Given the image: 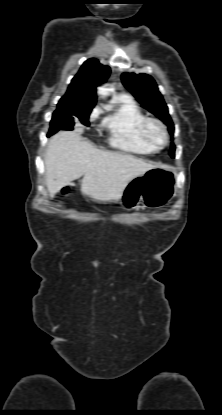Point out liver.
Returning <instances> with one entry per match:
<instances>
[{"instance_id": "1", "label": "liver", "mask_w": 222, "mask_h": 415, "mask_svg": "<svg viewBox=\"0 0 222 415\" xmlns=\"http://www.w3.org/2000/svg\"><path fill=\"white\" fill-rule=\"evenodd\" d=\"M44 162L51 198L83 176L82 194L101 202L119 200L131 179L159 167L130 154L99 150L76 131H60L52 136Z\"/></svg>"}]
</instances>
